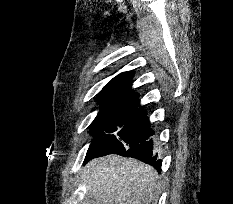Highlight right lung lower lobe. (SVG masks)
I'll return each mask as SVG.
<instances>
[{
    "instance_id": "obj_1",
    "label": "right lung lower lobe",
    "mask_w": 233,
    "mask_h": 204,
    "mask_svg": "<svg viewBox=\"0 0 233 204\" xmlns=\"http://www.w3.org/2000/svg\"><path fill=\"white\" fill-rule=\"evenodd\" d=\"M112 153L119 154L121 156L137 158L147 164L152 165L158 171L161 170V160H157V154H155L153 150V141L150 139H148L145 142L134 145L130 148L113 152L110 150L107 151L106 149L100 147L96 148L90 146L86 154L84 163L88 162L89 160L95 157L104 156Z\"/></svg>"
}]
</instances>
